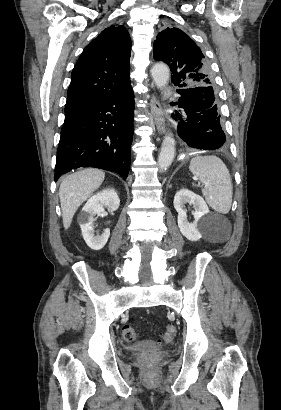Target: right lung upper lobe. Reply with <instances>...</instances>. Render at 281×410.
Here are the masks:
<instances>
[{
  "instance_id": "cb5924a9",
  "label": "right lung upper lobe",
  "mask_w": 281,
  "mask_h": 410,
  "mask_svg": "<svg viewBox=\"0 0 281 410\" xmlns=\"http://www.w3.org/2000/svg\"><path fill=\"white\" fill-rule=\"evenodd\" d=\"M131 40L124 26H110L88 44L73 71L65 110H76L130 86Z\"/></svg>"
}]
</instances>
